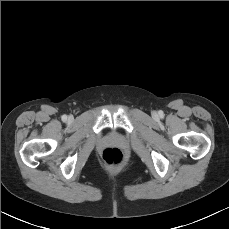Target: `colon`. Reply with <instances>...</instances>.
Instances as JSON below:
<instances>
[{
    "label": "colon",
    "mask_w": 229,
    "mask_h": 229,
    "mask_svg": "<svg viewBox=\"0 0 229 229\" xmlns=\"http://www.w3.org/2000/svg\"><path fill=\"white\" fill-rule=\"evenodd\" d=\"M103 161L106 166L117 168L124 162V155L118 148H107L103 152Z\"/></svg>",
    "instance_id": "1"
}]
</instances>
